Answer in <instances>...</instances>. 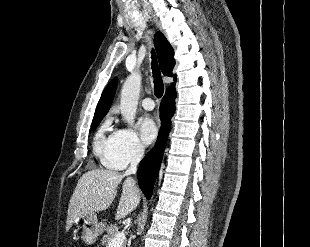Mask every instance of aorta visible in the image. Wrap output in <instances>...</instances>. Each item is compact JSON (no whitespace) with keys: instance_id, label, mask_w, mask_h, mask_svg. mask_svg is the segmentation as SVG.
<instances>
[{"instance_id":"obj_1","label":"aorta","mask_w":310,"mask_h":247,"mask_svg":"<svg viewBox=\"0 0 310 247\" xmlns=\"http://www.w3.org/2000/svg\"><path fill=\"white\" fill-rule=\"evenodd\" d=\"M140 87L141 75L138 72H133L127 77L121 90V115L123 120L131 126L134 124Z\"/></svg>"}]
</instances>
